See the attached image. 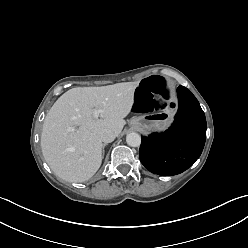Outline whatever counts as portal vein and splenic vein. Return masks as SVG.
Masks as SVG:
<instances>
[{
	"instance_id": "1",
	"label": "portal vein and splenic vein",
	"mask_w": 248,
	"mask_h": 248,
	"mask_svg": "<svg viewBox=\"0 0 248 248\" xmlns=\"http://www.w3.org/2000/svg\"><path fill=\"white\" fill-rule=\"evenodd\" d=\"M102 111L101 110H95L94 111V118H98L99 117V114L101 113ZM69 131H74V128H69L68 129Z\"/></svg>"
}]
</instances>
